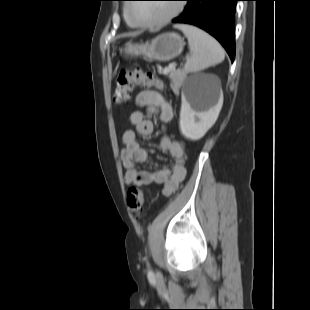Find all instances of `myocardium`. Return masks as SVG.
<instances>
[{
    "label": "myocardium",
    "mask_w": 310,
    "mask_h": 310,
    "mask_svg": "<svg viewBox=\"0 0 310 310\" xmlns=\"http://www.w3.org/2000/svg\"><path fill=\"white\" fill-rule=\"evenodd\" d=\"M131 5L132 4H127L125 6L124 12H125V17H126L127 21L135 27L146 28V29H155V28H160V27L166 25L167 23L172 21L174 18H176L180 13H182V11L184 9L183 5L175 4L172 12L169 15H167L166 17L162 18L159 21L147 23V22L137 21L131 17V15H130Z\"/></svg>",
    "instance_id": "1"
}]
</instances>
